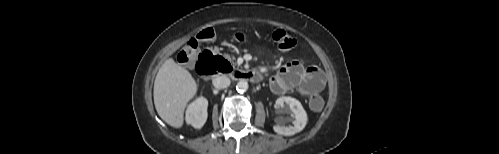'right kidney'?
I'll return each instance as SVG.
<instances>
[{
  "label": "right kidney",
  "instance_id": "obj_1",
  "mask_svg": "<svg viewBox=\"0 0 499 154\" xmlns=\"http://www.w3.org/2000/svg\"><path fill=\"white\" fill-rule=\"evenodd\" d=\"M208 101L204 97L197 98L186 110V122L194 128L200 129L207 120Z\"/></svg>",
  "mask_w": 499,
  "mask_h": 154
}]
</instances>
